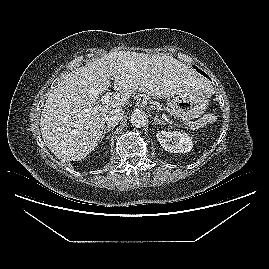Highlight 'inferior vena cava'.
Listing matches in <instances>:
<instances>
[{"label": "inferior vena cava", "mask_w": 269, "mask_h": 269, "mask_svg": "<svg viewBox=\"0 0 269 269\" xmlns=\"http://www.w3.org/2000/svg\"><path fill=\"white\" fill-rule=\"evenodd\" d=\"M123 116L124 111L122 108L112 109L106 114L105 123L108 125V127H114L118 125V123L122 120Z\"/></svg>", "instance_id": "inferior-vena-cava-1"}]
</instances>
